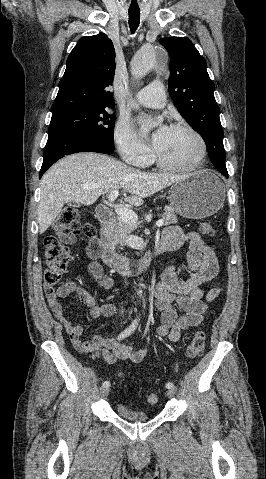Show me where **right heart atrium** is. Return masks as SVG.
Instances as JSON below:
<instances>
[{
    "label": "right heart atrium",
    "mask_w": 266,
    "mask_h": 479,
    "mask_svg": "<svg viewBox=\"0 0 266 479\" xmlns=\"http://www.w3.org/2000/svg\"><path fill=\"white\" fill-rule=\"evenodd\" d=\"M114 138L119 154L124 161L136 166H145L150 162V150L136 137L125 121L117 123Z\"/></svg>",
    "instance_id": "obj_1"
}]
</instances>
